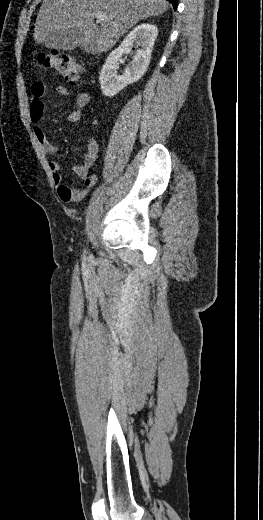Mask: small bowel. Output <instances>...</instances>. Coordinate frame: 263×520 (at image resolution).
<instances>
[{"label":"small bowel","instance_id":"c3829d8e","mask_svg":"<svg viewBox=\"0 0 263 520\" xmlns=\"http://www.w3.org/2000/svg\"><path fill=\"white\" fill-rule=\"evenodd\" d=\"M46 92V85L43 82L37 81L31 85V106L30 118L33 124L34 134L45 152L49 157L57 153V147L52 145L42 128L41 122L44 114V95ZM56 94L60 96L71 95L70 90L64 85L55 87ZM90 95L87 92H79L75 96V107L68 113L67 120L71 123H78L81 120V110L89 103ZM99 155V144L94 138H89L86 145V152L82 163L74 167V172L78 178L82 180V185L78 188H72L66 185L61 174L62 166L58 161L49 159L48 166L52 172L54 183L57 186V192L60 199L64 202H77L82 200L88 192L94 187L98 176L90 174V169L94 165Z\"/></svg>","mask_w":263,"mask_h":520}]
</instances>
